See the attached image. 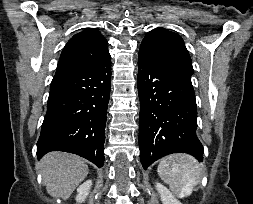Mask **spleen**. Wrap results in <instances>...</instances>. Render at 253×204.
I'll use <instances>...</instances> for the list:
<instances>
[{
    "label": "spleen",
    "mask_w": 253,
    "mask_h": 204,
    "mask_svg": "<svg viewBox=\"0 0 253 204\" xmlns=\"http://www.w3.org/2000/svg\"><path fill=\"white\" fill-rule=\"evenodd\" d=\"M157 171L160 178L180 197L191 195L203 175L199 162L184 153L163 158Z\"/></svg>",
    "instance_id": "obj_1"
}]
</instances>
